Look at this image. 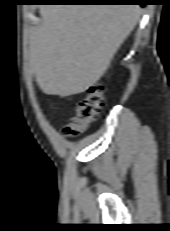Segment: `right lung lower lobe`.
<instances>
[{
  "label": "right lung lower lobe",
  "instance_id": "98d812e1",
  "mask_svg": "<svg viewBox=\"0 0 170 231\" xmlns=\"http://www.w3.org/2000/svg\"><path fill=\"white\" fill-rule=\"evenodd\" d=\"M144 0H36L44 3H139L145 5Z\"/></svg>",
  "mask_w": 170,
  "mask_h": 231
}]
</instances>
